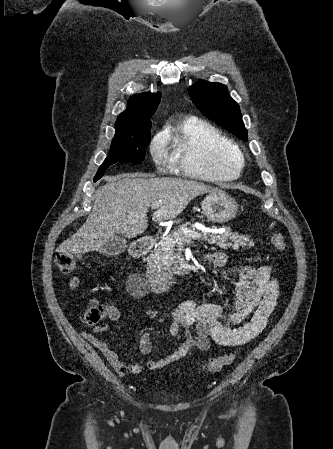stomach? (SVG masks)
<instances>
[{
    "mask_svg": "<svg viewBox=\"0 0 333 449\" xmlns=\"http://www.w3.org/2000/svg\"><path fill=\"white\" fill-rule=\"evenodd\" d=\"M202 212L208 221L225 223L232 220L238 210L236 201L222 191L211 193L202 202Z\"/></svg>",
    "mask_w": 333,
    "mask_h": 449,
    "instance_id": "obj_1",
    "label": "stomach"
}]
</instances>
